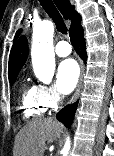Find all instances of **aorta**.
<instances>
[{
	"label": "aorta",
	"instance_id": "aorta-1",
	"mask_svg": "<svg viewBox=\"0 0 114 156\" xmlns=\"http://www.w3.org/2000/svg\"><path fill=\"white\" fill-rule=\"evenodd\" d=\"M54 25L51 21H43L33 29L31 58L33 70L39 81L50 83L55 70V55L53 48ZM70 139H66L61 151L62 156H68Z\"/></svg>",
	"mask_w": 114,
	"mask_h": 156
}]
</instances>
